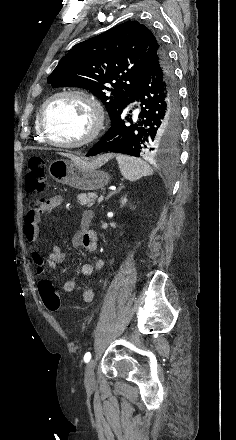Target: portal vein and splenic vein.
<instances>
[{"label": "portal vein and splenic vein", "mask_w": 236, "mask_h": 440, "mask_svg": "<svg viewBox=\"0 0 236 440\" xmlns=\"http://www.w3.org/2000/svg\"><path fill=\"white\" fill-rule=\"evenodd\" d=\"M103 198H104V196L101 195V196L98 198V202H101V201L103 200Z\"/></svg>", "instance_id": "18ae733b"}]
</instances>
